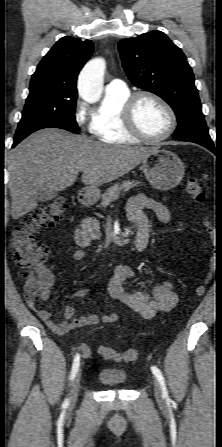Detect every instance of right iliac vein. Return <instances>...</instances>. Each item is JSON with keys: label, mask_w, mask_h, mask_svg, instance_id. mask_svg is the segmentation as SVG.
<instances>
[{"label": "right iliac vein", "mask_w": 222, "mask_h": 447, "mask_svg": "<svg viewBox=\"0 0 222 447\" xmlns=\"http://www.w3.org/2000/svg\"><path fill=\"white\" fill-rule=\"evenodd\" d=\"M80 379H81V371H77L72 384H71V390H70V398H69V406L74 407L79 395V387H80Z\"/></svg>", "instance_id": "1"}]
</instances>
